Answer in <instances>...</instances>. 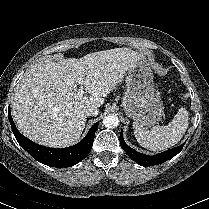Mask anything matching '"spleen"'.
<instances>
[{
    "mask_svg": "<svg viewBox=\"0 0 209 209\" xmlns=\"http://www.w3.org/2000/svg\"><path fill=\"white\" fill-rule=\"evenodd\" d=\"M189 125V114L186 108H180L172 121L166 126H155L147 130L138 122H133L137 142L151 151H161L177 144Z\"/></svg>",
    "mask_w": 209,
    "mask_h": 209,
    "instance_id": "spleen-1",
    "label": "spleen"
}]
</instances>
